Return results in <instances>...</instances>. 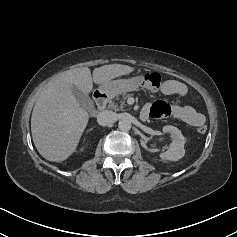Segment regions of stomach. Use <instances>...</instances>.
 <instances>
[{
	"instance_id": "stomach-1",
	"label": "stomach",
	"mask_w": 237,
	"mask_h": 237,
	"mask_svg": "<svg viewBox=\"0 0 237 237\" xmlns=\"http://www.w3.org/2000/svg\"><path fill=\"white\" fill-rule=\"evenodd\" d=\"M142 82L143 79L141 76H137L131 79H118L100 85L99 90L106 94L108 97H114L115 95L124 92L137 91Z\"/></svg>"
}]
</instances>
